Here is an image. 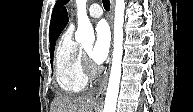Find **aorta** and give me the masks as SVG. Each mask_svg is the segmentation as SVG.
Instances as JSON below:
<instances>
[{
	"mask_svg": "<svg viewBox=\"0 0 193 112\" xmlns=\"http://www.w3.org/2000/svg\"><path fill=\"white\" fill-rule=\"evenodd\" d=\"M87 0H76L78 28L75 34L77 42L93 43L94 30L86 13ZM125 0L115 1L114 18V50L111 72L105 97L104 112H116L119 84L121 79V63L123 57V24Z\"/></svg>",
	"mask_w": 193,
	"mask_h": 112,
	"instance_id": "762f6f07",
	"label": "aorta"
}]
</instances>
